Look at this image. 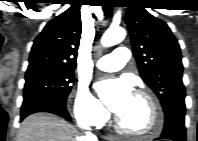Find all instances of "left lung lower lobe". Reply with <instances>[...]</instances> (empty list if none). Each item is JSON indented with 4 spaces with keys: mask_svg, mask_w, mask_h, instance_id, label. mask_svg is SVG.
I'll use <instances>...</instances> for the list:
<instances>
[{
    "mask_svg": "<svg viewBox=\"0 0 198 141\" xmlns=\"http://www.w3.org/2000/svg\"><path fill=\"white\" fill-rule=\"evenodd\" d=\"M184 116L185 105H178L171 108L165 114V124L161 138L173 141H185L186 130L184 126Z\"/></svg>",
    "mask_w": 198,
    "mask_h": 141,
    "instance_id": "1",
    "label": "left lung lower lobe"
}]
</instances>
